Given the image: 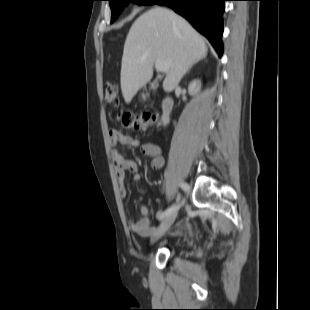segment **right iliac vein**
<instances>
[{
	"mask_svg": "<svg viewBox=\"0 0 310 310\" xmlns=\"http://www.w3.org/2000/svg\"><path fill=\"white\" fill-rule=\"evenodd\" d=\"M177 214L178 210H175L162 221L152 236V242H155L157 239H159L172 226L177 217Z\"/></svg>",
	"mask_w": 310,
	"mask_h": 310,
	"instance_id": "right-iliac-vein-1",
	"label": "right iliac vein"
}]
</instances>
